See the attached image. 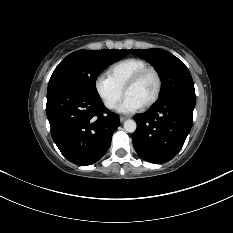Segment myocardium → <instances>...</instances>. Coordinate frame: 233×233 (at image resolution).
<instances>
[{
    "label": "myocardium",
    "instance_id": "f54148a6",
    "mask_svg": "<svg viewBox=\"0 0 233 233\" xmlns=\"http://www.w3.org/2000/svg\"><path fill=\"white\" fill-rule=\"evenodd\" d=\"M148 73L154 74L156 78L157 86H156L155 93L151 97V99L148 102H146L144 105H142L143 108H148L152 106L159 99L161 91H162V86H163L162 77H161L160 72L155 67L148 65L142 68L141 70H139L128 80V82L126 83L123 89L124 94L126 95V92L130 88L135 86L137 83H139Z\"/></svg>",
    "mask_w": 233,
    "mask_h": 233
}]
</instances>
